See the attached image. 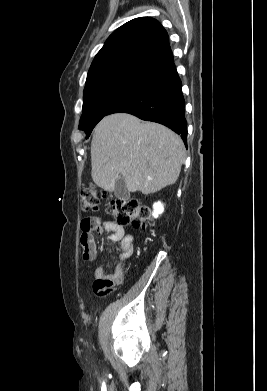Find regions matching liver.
Masks as SVG:
<instances>
[{
    "label": "liver",
    "mask_w": 267,
    "mask_h": 391,
    "mask_svg": "<svg viewBox=\"0 0 267 391\" xmlns=\"http://www.w3.org/2000/svg\"><path fill=\"white\" fill-rule=\"evenodd\" d=\"M185 156L181 138L163 125L116 113L95 127L91 143L92 179L113 192L121 177L129 192L147 195L174 184Z\"/></svg>",
    "instance_id": "obj_1"
}]
</instances>
